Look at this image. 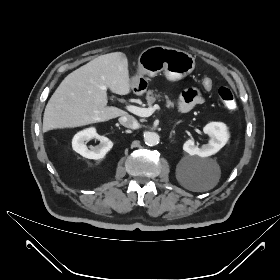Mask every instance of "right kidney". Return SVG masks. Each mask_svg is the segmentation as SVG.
I'll return each mask as SVG.
<instances>
[{
	"instance_id": "right-kidney-1",
	"label": "right kidney",
	"mask_w": 280,
	"mask_h": 280,
	"mask_svg": "<svg viewBox=\"0 0 280 280\" xmlns=\"http://www.w3.org/2000/svg\"><path fill=\"white\" fill-rule=\"evenodd\" d=\"M94 138L100 141L99 145L88 148L86 142ZM112 147V141L105 136L98 135L94 127L78 132L72 140L73 150L88 159H102Z\"/></svg>"
}]
</instances>
